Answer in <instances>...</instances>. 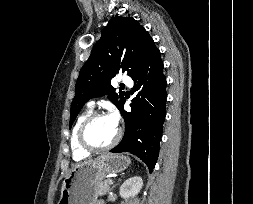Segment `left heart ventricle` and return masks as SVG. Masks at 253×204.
<instances>
[{
	"instance_id": "1",
	"label": "left heart ventricle",
	"mask_w": 253,
	"mask_h": 204,
	"mask_svg": "<svg viewBox=\"0 0 253 204\" xmlns=\"http://www.w3.org/2000/svg\"><path fill=\"white\" fill-rule=\"evenodd\" d=\"M117 133V127L107 116L96 119L87 130V139L96 146L110 143Z\"/></svg>"
}]
</instances>
